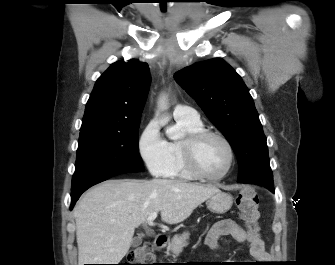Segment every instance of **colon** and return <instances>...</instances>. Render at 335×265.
Returning <instances> with one entry per match:
<instances>
[{"mask_svg":"<svg viewBox=\"0 0 335 265\" xmlns=\"http://www.w3.org/2000/svg\"><path fill=\"white\" fill-rule=\"evenodd\" d=\"M236 205L240 216L249 230L256 231L259 219L258 199L254 191L249 188L243 189L236 197ZM154 254L149 244L134 249L128 259V264L124 265H152Z\"/></svg>","mask_w":335,"mask_h":265,"instance_id":"1","label":"colon"}]
</instances>
